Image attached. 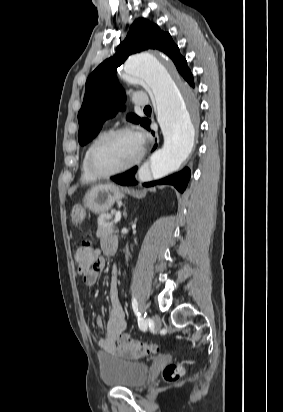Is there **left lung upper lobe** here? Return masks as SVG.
Listing matches in <instances>:
<instances>
[{
    "instance_id": "1",
    "label": "left lung upper lobe",
    "mask_w": 283,
    "mask_h": 412,
    "mask_svg": "<svg viewBox=\"0 0 283 412\" xmlns=\"http://www.w3.org/2000/svg\"><path fill=\"white\" fill-rule=\"evenodd\" d=\"M148 49L159 50L170 57L183 78L190 73L186 59L180 54L169 33L148 20H136L114 56L100 64L87 79L84 101L78 113V140L81 145L97 136L103 121L124 109L122 103L125 101V94L116 79L117 67L131 54ZM127 119L142 126L148 122V119H141L136 115H129Z\"/></svg>"
}]
</instances>
